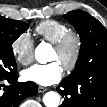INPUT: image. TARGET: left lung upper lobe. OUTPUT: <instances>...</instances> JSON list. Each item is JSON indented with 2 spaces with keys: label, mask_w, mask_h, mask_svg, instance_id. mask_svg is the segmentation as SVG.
<instances>
[{
  "label": "left lung upper lobe",
  "mask_w": 107,
  "mask_h": 107,
  "mask_svg": "<svg viewBox=\"0 0 107 107\" xmlns=\"http://www.w3.org/2000/svg\"><path fill=\"white\" fill-rule=\"evenodd\" d=\"M81 37V49L75 71L63 81L75 88L67 96L68 107H83L85 92L80 84L99 76L107 77V30L87 12L76 10L64 15Z\"/></svg>",
  "instance_id": "left-lung-upper-lobe-1"
}]
</instances>
